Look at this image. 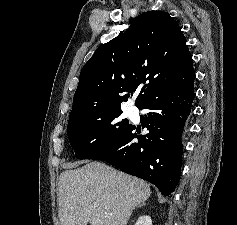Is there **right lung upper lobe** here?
Listing matches in <instances>:
<instances>
[{
	"label": "right lung upper lobe",
	"instance_id": "obj_1",
	"mask_svg": "<svg viewBox=\"0 0 237 225\" xmlns=\"http://www.w3.org/2000/svg\"><path fill=\"white\" fill-rule=\"evenodd\" d=\"M194 80L192 57L178 23L166 12H145L124 33L98 47L84 65L68 124L121 110L141 84L137 107L164 85L181 87Z\"/></svg>",
	"mask_w": 237,
	"mask_h": 225
}]
</instances>
